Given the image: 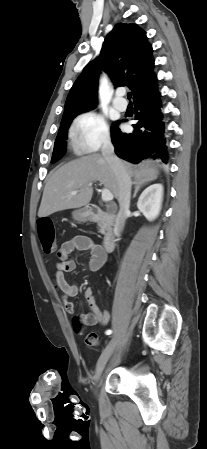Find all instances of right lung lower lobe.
Here are the masks:
<instances>
[{
  "label": "right lung lower lobe",
  "instance_id": "obj_1",
  "mask_svg": "<svg viewBox=\"0 0 207 449\" xmlns=\"http://www.w3.org/2000/svg\"><path fill=\"white\" fill-rule=\"evenodd\" d=\"M134 106L135 119L138 122L132 125V133L121 132L117 125L111 128L116 155L134 163L147 158L160 159L167 163L168 147L160 92L156 88L148 94L136 97Z\"/></svg>",
  "mask_w": 207,
  "mask_h": 449
}]
</instances>
